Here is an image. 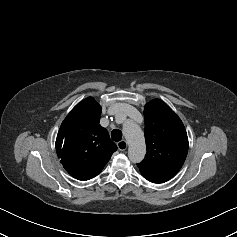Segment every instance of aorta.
<instances>
[{
  "mask_svg": "<svg viewBox=\"0 0 237 237\" xmlns=\"http://www.w3.org/2000/svg\"><path fill=\"white\" fill-rule=\"evenodd\" d=\"M123 133L128 142V157L133 163H140L146 154V144L143 131L134 122H125Z\"/></svg>",
  "mask_w": 237,
  "mask_h": 237,
  "instance_id": "obj_1",
  "label": "aorta"
}]
</instances>
